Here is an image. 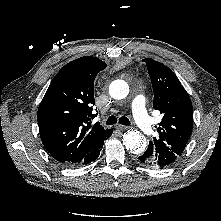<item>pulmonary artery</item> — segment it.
<instances>
[{
    "label": "pulmonary artery",
    "instance_id": "obj_1",
    "mask_svg": "<svg viewBox=\"0 0 221 221\" xmlns=\"http://www.w3.org/2000/svg\"><path fill=\"white\" fill-rule=\"evenodd\" d=\"M132 113L135 122L139 128L146 134L150 135L153 131L152 120L148 115L145 108V98L142 95H138L132 102Z\"/></svg>",
    "mask_w": 221,
    "mask_h": 221
}]
</instances>
